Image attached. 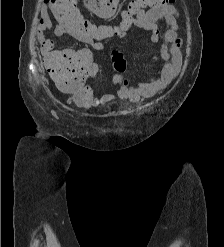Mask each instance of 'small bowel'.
<instances>
[{"mask_svg":"<svg viewBox=\"0 0 224 247\" xmlns=\"http://www.w3.org/2000/svg\"><path fill=\"white\" fill-rule=\"evenodd\" d=\"M54 1L43 0L39 18L38 36L41 43V51L46 61L52 56L53 42L44 35V32L50 29H53L56 36L71 35L93 49L102 51L104 49L102 40L90 39L79 35L73 27L63 21ZM118 1L84 0V3L98 17L109 18L115 13ZM162 22L169 25V29L165 32L163 39H161L159 28ZM132 23L150 32L153 42H161L159 55L155 59H160L164 63L157 71L156 76L137 84L131 83L129 78L123 76L122 73L114 74L112 82L118 85L116 92L96 97L93 105H99L114 98L138 101L140 98L152 97L166 89L179 74L183 56L182 40L178 34V12L175 7L169 5L142 11L132 18Z\"/></svg>","mask_w":224,"mask_h":247,"instance_id":"1","label":"small bowel"}]
</instances>
